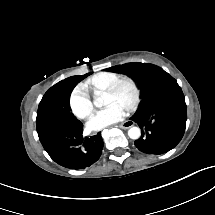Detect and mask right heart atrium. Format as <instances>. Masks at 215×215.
<instances>
[{"label": "right heart atrium", "mask_w": 215, "mask_h": 215, "mask_svg": "<svg viewBox=\"0 0 215 215\" xmlns=\"http://www.w3.org/2000/svg\"><path fill=\"white\" fill-rule=\"evenodd\" d=\"M71 107L80 117L88 116L93 110V106L89 100H83L76 95H73L71 98Z\"/></svg>", "instance_id": "d8ad5b80"}]
</instances>
